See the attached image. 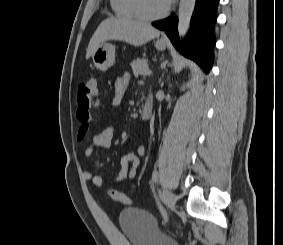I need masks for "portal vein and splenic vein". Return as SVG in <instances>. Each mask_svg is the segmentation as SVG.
<instances>
[{
    "mask_svg": "<svg viewBox=\"0 0 283 245\" xmlns=\"http://www.w3.org/2000/svg\"><path fill=\"white\" fill-rule=\"evenodd\" d=\"M151 73H152V71H151V70L146 69V70L142 73V75H144V76H148V75H151Z\"/></svg>",
    "mask_w": 283,
    "mask_h": 245,
    "instance_id": "obj_1",
    "label": "portal vein and splenic vein"
}]
</instances>
